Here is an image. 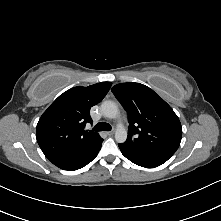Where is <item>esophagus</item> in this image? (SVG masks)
<instances>
[{
	"mask_svg": "<svg viewBox=\"0 0 221 221\" xmlns=\"http://www.w3.org/2000/svg\"><path fill=\"white\" fill-rule=\"evenodd\" d=\"M107 135L111 136L114 134V130L106 132Z\"/></svg>",
	"mask_w": 221,
	"mask_h": 221,
	"instance_id": "1",
	"label": "esophagus"
}]
</instances>
